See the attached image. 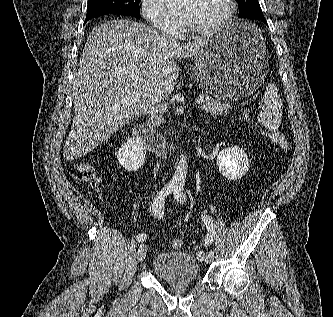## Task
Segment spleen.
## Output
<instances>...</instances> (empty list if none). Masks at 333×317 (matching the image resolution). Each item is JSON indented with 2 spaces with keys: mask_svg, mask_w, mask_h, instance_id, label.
Masks as SVG:
<instances>
[{
  "mask_svg": "<svg viewBox=\"0 0 333 317\" xmlns=\"http://www.w3.org/2000/svg\"><path fill=\"white\" fill-rule=\"evenodd\" d=\"M263 102L265 109L258 115L261 125L270 131H277L282 121V103L276 85L269 83L266 86Z\"/></svg>",
  "mask_w": 333,
  "mask_h": 317,
  "instance_id": "3e777b00",
  "label": "spleen"
}]
</instances>
